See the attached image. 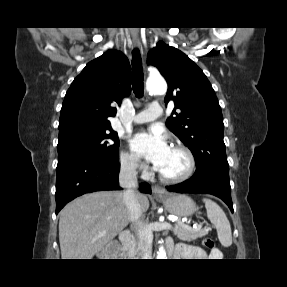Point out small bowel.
I'll use <instances>...</instances> for the list:
<instances>
[{"label":"small bowel","instance_id":"obj_1","mask_svg":"<svg viewBox=\"0 0 287 287\" xmlns=\"http://www.w3.org/2000/svg\"><path fill=\"white\" fill-rule=\"evenodd\" d=\"M167 246L170 249V252L175 259L183 260H198L205 259L209 256L218 257L220 255L219 251L215 250L211 253H207L203 249L184 243L177 244L173 247L171 240H167Z\"/></svg>","mask_w":287,"mask_h":287}]
</instances>
